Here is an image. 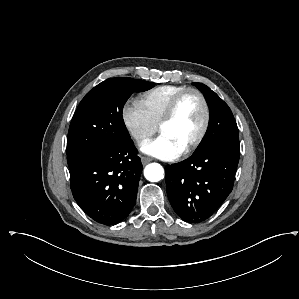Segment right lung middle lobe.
<instances>
[{"mask_svg":"<svg viewBox=\"0 0 299 299\" xmlns=\"http://www.w3.org/2000/svg\"><path fill=\"white\" fill-rule=\"evenodd\" d=\"M152 87L153 83L143 80L111 78L90 90L80 102L69 127V168L98 152L131 141L122 117L123 106L134 91L142 92Z\"/></svg>","mask_w":299,"mask_h":299,"instance_id":"1","label":"right lung middle lobe"}]
</instances>
